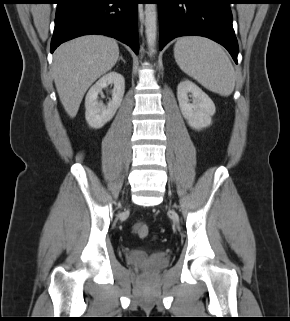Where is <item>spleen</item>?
Returning a JSON list of instances; mask_svg holds the SVG:
<instances>
[{
  "mask_svg": "<svg viewBox=\"0 0 290 321\" xmlns=\"http://www.w3.org/2000/svg\"><path fill=\"white\" fill-rule=\"evenodd\" d=\"M179 67L210 91L229 96L235 87V71L217 43L203 37L180 38L174 47Z\"/></svg>",
  "mask_w": 290,
  "mask_h": 321,
  "instance_id": "3e777b00",
  "label": "spleen"
}]
</instances>
